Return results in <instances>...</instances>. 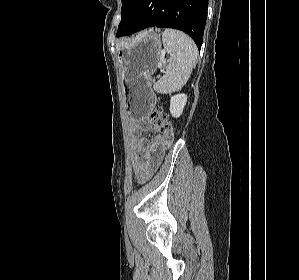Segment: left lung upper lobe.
I'll return each instance as SVG.
<instances>
[{"instance_id":"obj_1","label":"left lung upper lobe","mask_w":299,"mask_h":280,"mask_svg":"<svg viewBox=\"0 0 299 280\" xmlns=\"http://www.w3.org/2000/svg\"><path fill=\"white\" fill-rule=\"evenodd\" d=\"M136 1L137 0H122L121 22L118 26L121 31L130 23ZM121 31L117 33L118 37Z\"/></svg>"}]
</instances>
